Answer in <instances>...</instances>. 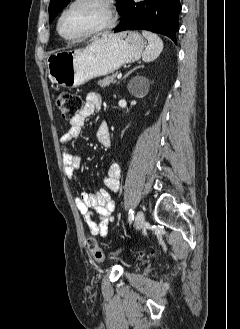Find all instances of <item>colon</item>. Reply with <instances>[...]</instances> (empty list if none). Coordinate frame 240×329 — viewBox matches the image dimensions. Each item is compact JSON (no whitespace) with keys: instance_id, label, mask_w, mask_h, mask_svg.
<instances>
[{"instance_id":"colon-1","label":"colon","mask_w":240,"mask_h":329,"mask_svg":"<svg viewBox=\"0 0 240 329\" xmlns=\"http://www.w3.org/2000/svg\"><path fill=\"white\" fill-rule=\"evenodd\" d=\"M56 105L60 112V117L65 121H71L83 108L84 103L81 96L71 92H61L56 98ZM88 250L92 258L98 262L104 260V254L94 239L87 242Z\"/></svg>"}]
</instances>
